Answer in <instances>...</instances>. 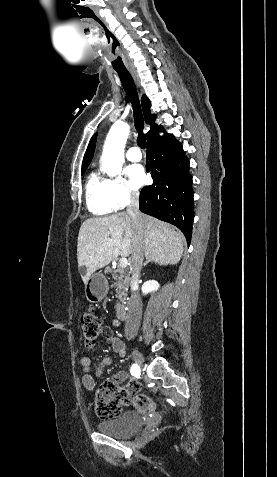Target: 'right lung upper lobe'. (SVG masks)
Here are the masks:
<instances>
[{"instance_id":"right-lung-upper-lobe-1","label":"right lung upper lobe","mask_w":277,"mask_h":477,"mask_svg":"<svg viewBox=\"0 0 277 477\" xmlns=\"http://www.w3.org/2000/svg\"><path fill=\"white\" fill-rule=\"evenodd\" d=\"M141 101H142L145 122L146 124H149L151 126L149 132L147 133V140L148 142H150L160 137L159 132L162 130V127L155 124L156 117L155 115L151 114L149 99L145 95H143ZM96 136L97 134H94L89 142L88 148L83 158L82 169H87L93 157L95 143H96Z\"/></svg>"}]
</instances>
